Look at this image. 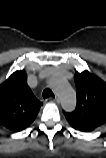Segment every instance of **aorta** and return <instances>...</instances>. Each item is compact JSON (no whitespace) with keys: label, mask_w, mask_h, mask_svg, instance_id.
Masks as SVG:
<instances>
[{"label":"aorta","mask_w":106,"mask_h":158,"mask_svg":"<svg viewBox=\"0 0 106 158\" xmlns=\"http://www.w3.org/2000/svg\"><path fill=\"white\" fill-rule=\"evenodd\" d=\"M49 85L58 93L63 109L73 111L76 106V94L68 82L61 77L52 76Z\"/></svg>","instance_id":"aorta-1"}]
</instances>
